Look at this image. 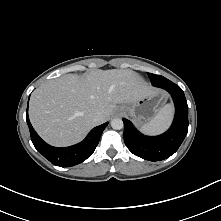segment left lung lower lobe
Listing matches in <instances>:
<instances>
[{"label": "left lung lower lobe", "mask_w": 221, "mask_h": 221, "mask_svg": "<svg viewBox=\"0 0 221 221\" xmlns=\"http://www.w3.org/2000/svg\"><path fill=\"white\" fill-rule=\"evenodd\" d=\"M160 88L168 91L174 101L175 117L171 127L159 136H144L127 119L124 122V142L130 152L149 161H161L173 155L188 132V105L183 90L173 82Z\"/></svg>", "instance_id": "0a47b994"}]
</instances>
